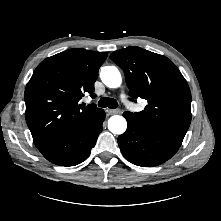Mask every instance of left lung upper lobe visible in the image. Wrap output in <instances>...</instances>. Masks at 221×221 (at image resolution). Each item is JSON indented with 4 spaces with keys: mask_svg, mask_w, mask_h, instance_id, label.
Listing matches in <instances>:
<instances>
[{
    "mask_svg": "<svg viewBox=\"0 0 221 221\" xmlns=\"http://www.w3.org/2000/svg\"><path fill=\"white\" fill-rule=\"evenodd\" d=\"M110 58L124 71L129 95L148 101L145 110L125 114L153 139L180 147L191 122V94L179 69L139 47L115 51Z\"/></svg>",
    "mask_w": 221,
    "mask_h": 221,
    "instance_id": "1",
    "label": "left lung upper lobe"
}]
</instances>
